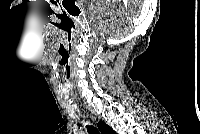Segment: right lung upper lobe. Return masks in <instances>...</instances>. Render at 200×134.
<instances>
[{
  "instance_id": "obj_1",
  "label": "right lung upper lobe",
  "mask_w": 200,
  "mask_h": 134,
  "mask_svg": "<svg viewBox=\"0 0 200 134\" xmlns=\"http://www.w3.org/2000/svg\"><path fill=\"white\" fill-rule=\"evenodd\" d=\"M98 127L103 134H113L114 133L113 129L103 122H99Z\"/></svg>"
}]
</instances>
